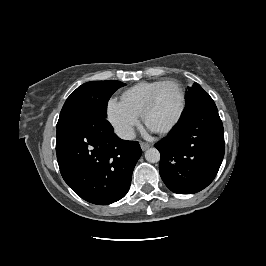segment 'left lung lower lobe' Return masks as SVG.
Listing matches in <instances>:
<instances>
[{
  "mask_svg": "<svg viewBox=\"0 0 266 266\" xmlns=\"http://www.w3.org/2000/svg\"><path fill=\"white\" fill-rule=\"evenodd\" d=\"M155 147L161 178L171 191L192 194L207 187L225 151L223 124L209 94L190 103L179 124Z\"/></svg>",
  "mask_w": 266,
  "mask_h": 266,
  "instance_id": "1",
  "label": "left lung lower lobe"
}]
</instances>
